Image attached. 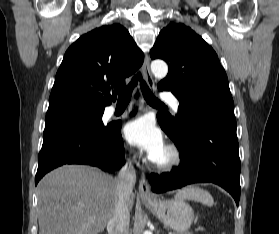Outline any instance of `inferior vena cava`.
Segmentation results:
<instances>
[{"mask_svg":"<svg viewBox=\"0 0 279 234\" xmlns=\"http://www.w3.org/2000/svg\"><path fill=\"white\" fill-rule=\"evenodd\" d=\"M136 182L134 169L126 163L116 178L118 198L111 219L107 223L108 234H129L130 212L127 200Z\"/></svg>","mask_w":279,"mask_h":234,"instance_id":"1","label":"inferior vena cava"}]
</instances>
